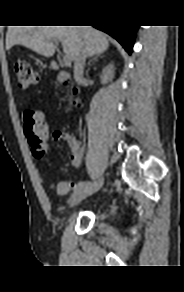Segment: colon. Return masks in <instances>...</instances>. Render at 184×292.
<instances>
[{
  "label": "colon",
  "instance_id": "5ec220e1",
  "mask_svg": "<svg viewBox=\"0 0 184 292\" xmlns=\"http://www.w3.org/2000/svg\"><path fill=\"white\" fill-rule=\"evenodd\" d=\"M13 72L20 89L26 90L38 81V74L32 65L26 60H16L13 63ZM24 132L28 138L32 152L36 158H41L48 143V126L41 112L37 110H26L23 116ZM58 185V184H57ZM54 189L57 192L58 186Z\"/></svg>",
  "mask_w": 184,
  "mask_h": 292
}]
</instances>
